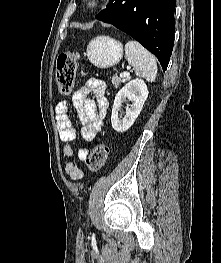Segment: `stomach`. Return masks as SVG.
I'll return each instance as SVG.
<instances>
[{
  "label": "stomach",
  "mask_w": 221,
  "mask_h": 263,
  "mask_svg": "<svg viewBox=\"0 0 221 263\" xmlns=\"http://www.w3.org/2000/svg\"><path fill=\"white\" fill-rule=\"evenodd\" d=\"M87 58L98 68H108L123 57L122 44L108 36H98L87 46Z\"/></svg>",
  "instance_id": "stomach-1"
}]
</instances>
